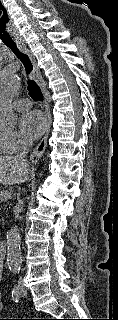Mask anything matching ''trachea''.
Instances as JSON below:
<instances>
[{"label": "trachea", "instance_id": "3493384b", "mask_svg": "<svg viewBox=\"0 0 118 320\" xmlns=\"http://www.w3.org/2000/svg\"><path fill=\"white\" fill-rule=\"evenodd\" d=\"M8 47L18 57V59L21 60V62L23 63V65L25 67L26 74L28 76L31 73V71L33 70V65H32L30 58L26 54L20 52L18 50V48L16 47V45H9ZM27 84H28V91H29L30 96L36 100L42 101L43 94H42L39 86L36 84V82L34 80H28Z\"/></svg>", "mask_w": 118, "mask_h": 320}]
</instances>
